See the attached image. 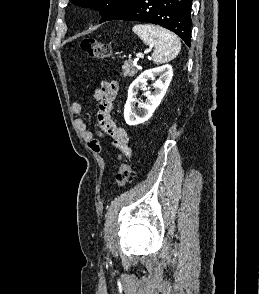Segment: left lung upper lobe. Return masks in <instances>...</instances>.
<instances>
[{
	"mask_svg": "<svg viewBox=\"0 0 259 294\" xmlns=\"http://www.w3.org/2000/svg\"><path fill=\"white\" fill-rule=\"evenodd\" d=\"M71 3L83 7L98 10L102 16L101 22H104L108 16L118 8L125 5L131 0H70Z\"/></svg>",
	"mask_w": 259,
	"mask_h": 294,
	"instance_id": "1",
	"label": "left lung upper lobe"
}]
</instances>
